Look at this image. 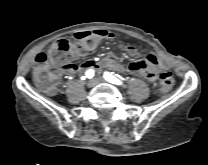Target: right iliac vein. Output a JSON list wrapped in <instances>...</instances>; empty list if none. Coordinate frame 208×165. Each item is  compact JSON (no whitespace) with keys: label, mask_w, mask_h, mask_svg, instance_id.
<instances>
[{"label":"right iliac vein","mask_w":208,"mask_h":165,"mask_svg":"<svg viewBox=\"0 0 208 165\" xmlns=\"http://www.w3.org/2000/svg\"><path fill=\"white\" fill-rule=\"evenodd\" d=\"M96 84H97V82H96L95 79H90V80L87 82V87H88V88H93Z\"/></svg>","instance_id":"obj_1"}]
</instances>
